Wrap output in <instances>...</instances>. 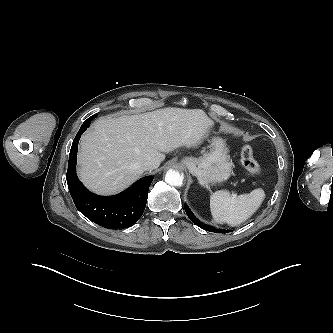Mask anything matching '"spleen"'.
Masks as SVG:
<instances>
[{
	"instance_id": "1",
	"label": "spleen",
	"mask_w": 333,
	"mask_h": 333,
	"mask_svg": "<svg viewBox=\"0 0 333 333\" xmlns=\"http://www.w3.org/2000/svg\"><path fill=\"white\" fill-rule=\"evenodd\" d=\"M265 198L261 188L248 194L231 196L226 190H219L210 197V210L217 223L239 225L249 219L260 207Z\"/></svg>"
}]
</instances>
